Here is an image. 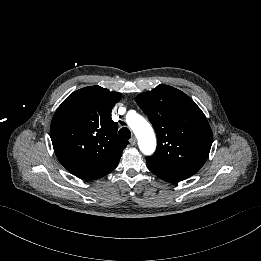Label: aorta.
I'll list each match as a JSON object with an SVG mask.
<instances>
[{"mask_svg":"<svg viewBox=\"0 0 261 261\" xmlns=\"http://www.w3.org/2000/svg\"><path fill=\"white\" fill-rule=\"evenodd\" d=\"M126 122L135 133L141 152L151 155L156 148V139L150 124L133 110L127 113Z\"/></svg>","mask_w":261,"mask_h":261,"instance_id":"762f6f07","label":"aorta"}]
</instances>
